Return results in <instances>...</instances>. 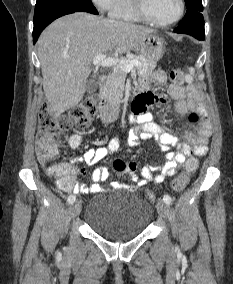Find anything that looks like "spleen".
Wrapping results in <instances>:
<instances>
[{
    "label": "spleen",
    "mask_w": 233,
    "mask_h": 284,
    "mask_svg": "<svg viewBox=\"0 0 233 284\" xmlns=\"http://www.w3.org/2000/svg\"><path fill=\"white\" fill-rule=\"evenodd\" d=\"M194 72H195L194 68H190V69H189V75L186 76V81H187L188 83H191V82L193 81Z\"/></svg>",
    "instance_id": "obj_1"
}]
</instances>
